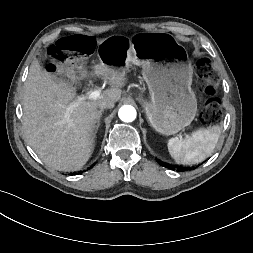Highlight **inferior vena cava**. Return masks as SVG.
Returning <instances> with one entry per match:
<instances>
[{"label":"inferior vena cava","mask_w":253,"mask_h":253,"mask_svg":"<svg viewBox=\"0 0 253 253\" xmlns=\"http://www.w3.org/2000/svg\"><path fill=\"white\" fill-rule=\"evenodd\" d=\"M98 106L101 110L106 108L111 109L114 107V102L112 100H102L99 102Z\"/></svg>","instance_id":"602c4592"}]
</instances>
